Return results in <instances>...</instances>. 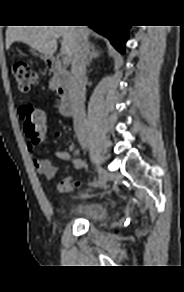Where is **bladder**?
Here are the masks:
<instances>
[{
	"mask_svg": "<svg viewBox=\"0 0 184 292\" xmlns=\"http://www.w3.org/2000/svg\"><path fill=\"white\" fill-rule=\"evenodd\" d=\"M72 215L93 223H101L109 218V209L107 205L100 200H88L79 203Z\"/></svg>",
	"mask_w": 184,
	"mask_h": 292,
	"instance_id": "obj_1",
	"label": "bladder"
}]
</instances>
